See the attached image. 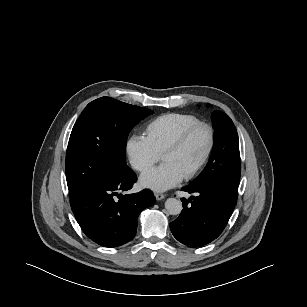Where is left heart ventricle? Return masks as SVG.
I'll return each instance as SVG.
<instances>
[{
    "label": "left heart ventricle",
    "mask_w": 307,
    "mask_h": 307,
    "mask_svg": "<svg viewBox=\"0 0 307 307\" xmlns=\"http://www.w3.org/2000/svg\"><path fill=\"white\" fill-rule=\"evenodd\" d=\"M208 146V134L203 128L196 130L183 146L163 157L164 163H171L183 175L189 173L202 159Z\"/></svg>",
    "instance_id": "obj_1"
}]
</instances>
